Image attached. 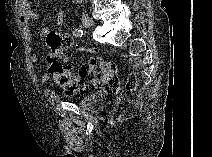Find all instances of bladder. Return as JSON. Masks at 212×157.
I'll list each match as a JSON object with an SVG mask.
<instances>
[{
    "label": "bladder",
    "mask_w": 212,
    "mask_h": 157,
    "mask_svg": "<svg viewBox=\"0 0 212 157\" xmlns=\"http://www.w3.org/2000/svg\"><path fill=\"white\" fill-rule=\"evenodd\" d=\"M75 103L87 111H100L107 104V94L99 91L85 92L77 97Z\"/></svg>",
    "instance_id": "31cf9c89"
}]
</instances>
